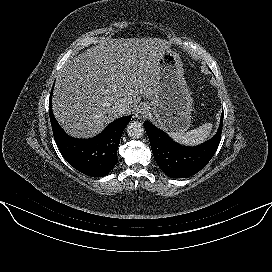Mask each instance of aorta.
<instances>
[{
    "instance_id": "1",
    "label": "aorta",
    "mask_w": 272,
    "mask_h": 272,
    "mask_svg": "<svg viewBox=\"0 0 272 272\" xmlns=\"http://www.w3.org/2000/svg\"><path fill=\"white\" fill-rule=\"evenodd\" d=\"M126 132L130 138L138 139L143 136L144 127H143L142 123H140L138 121H132L127 125Z\"/></svg>"
}]
</instances>
